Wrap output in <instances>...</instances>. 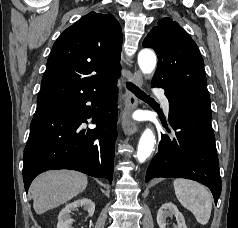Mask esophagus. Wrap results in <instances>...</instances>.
Instances as JSON below:
<instances>
[{
    "label": "esophagus",
    "mask_w": 238,
    "mask_h": 228,
    "mask_svg": "<svg viewBox=\"0 0 238 228\" xmlns=\"http://www.w3.org/2000/svg\"><path fill=\"white\" fill-rule=\"evenodd\" d=\"M131 81L135 85L141 86L143 83L141 73L135 70ZM138 104L137 97L130 90H127L125 94V110L121 121L122 129L127 135L134 134L138 129L137 123L130 118V113L138 107Z\"/></svg>",
    "instance_id": "34e87169"
}]
</instances>
